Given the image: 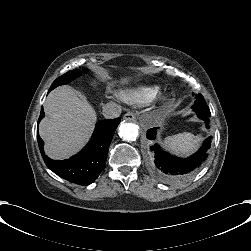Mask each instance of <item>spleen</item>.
Returning a JSON list of instances; mask_svg holds the SVG:
<instances>
[{
	"label": "spleen",
	"instance_id": "1",
	"mask_svg": "<svg viewBox=\"0 0 251 251\" xmlns=\"http://www.w3.org/2000/svg\"><path fill=\"white\" fill-rule=\"evenodd\" d=\"M203 133L186 132L163 139V148L168 152L181 157H189L201 146L203 141Z\"/></svg>",
	"mask_w": 251,
	"mask_h": 251
}]
</instances>
